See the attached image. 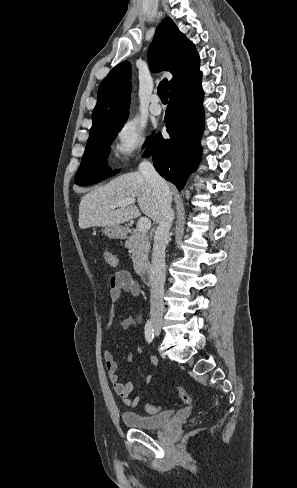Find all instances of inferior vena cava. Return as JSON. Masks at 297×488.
<instances>
[{
	"instance_id": "obj_1",
	"label": "inferior vena cava",
	"mask_w": 297,
	"mask_h": 488,
	"mask_svg": "<svg viewBox=\"0 0 297 488\" xmlns=\"http://www.w3.org/2000/svg\"><path fill=\"white\" fill-rule=\"evenodd\" d=\"M138 169L157 192L162 205V218L154 235L150 272V315L152 318L162 317L164 312L165 248L169 242V231L175 218L174 211L171 208L172 195L166 181L159 176L153 164L147 159H142Z\"/></svg>"
}]
</instances>
